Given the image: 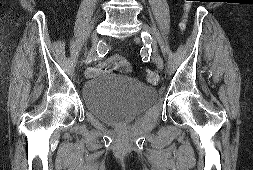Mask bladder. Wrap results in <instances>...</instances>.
<instances>
[{
    "label": "bladder",
    "instance_id": "obj_1",
    "mask_svg": "<svg viewBox=\"0 0 253 170\" xmlns=\"http://www.w3.org/2000/svg\"><path fill=\"white\" fill-rule=\"evenodd\" d=\"M81 93L87 109L95 117L115 125L133 121L157 98L155 87L108 72L85 81Z\"/></svg>",
    "mask_w": 253,
    "mask_h": 170
}]
</instances>
